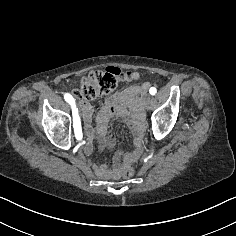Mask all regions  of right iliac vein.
Returning a JSON list of instances; mask_svg holds the SVG:
<instances>
[{
	"instance_id": "63e3f726",
	"label": "right iliac vein",
	"mask_w": 236,
	"mask_h": 236,
	"mask_svg": "<svg viewBox=\"0 0 236 236\" xmlns=\"http://www.w3.org/2000/svg\"><path fill=\"white\" fill-rule=\"evenodd\" d=\"M75 106H76V108H77V109H76V110H77V113L81 115V114H82L81 111H80V110H81V109H80L81 107L79 106V104H78L77 102L75 103Z\"/></svg>"
}]
</instances>
